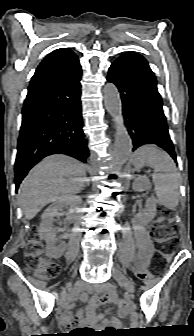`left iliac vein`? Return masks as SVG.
Instances as JSON below:
<instances>
[{
	"instance_id": "left-iliac-vein-1",
	"label": "left iliac vein",
	"mask_w": 194,
	"mask_h": 336,
	"mask_svg": "<svg viewBox=\"0 0 194 336\" xmlns=\"http://www.w3.org/2000/svg\"><path fill=\"white\" fill-rule=\"evenodd\" d=\"M113 274L115 280L122 285L128 293H133L135 291L133 282L126 277L119 267L114 268Z\"/></svg>"
}]
</instances>
